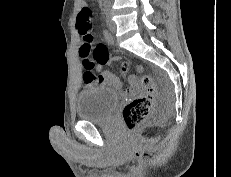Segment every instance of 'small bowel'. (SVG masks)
I'll list each match as a JSON object with an SVG mask.
<instances>
[{"mask_svg":"<svg viewBox=\"0 0 231 177\" xmlns=\"http://www.w3.org/2000/svg\"><path fill=\"white\" fill-rule=\"evenodd\" d=\"M87 6L86 2H82L81 3V10ZM105 38L107 40L108 43H112V38L111 36L105 32ZM105 64H99L98 69H99V81L97 84H102V85H106L109 87H112L114 89L120 90L122 89V83L121 81L111 72H109L106 69H103ZM141 69V68H139ZM128 82L130 84L131 87V92H134L138 89L139 86V82H138V78L134 75H130L128 77Z\"/></svg>","mask_w":231,"mask_h":177,"instance_id":"c3829d8e","label":"small bowel"}]
</instances>
